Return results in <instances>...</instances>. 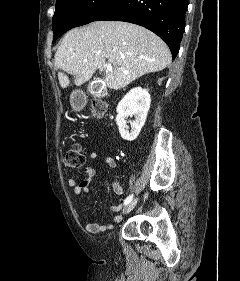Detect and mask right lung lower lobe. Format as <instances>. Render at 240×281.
<instances>
[{
    "label": "right lung lower lobe",
    "mask_w": 240,
    "mask_h": 281,
    "mask_svg": "<svg viewBox=\"0 0 240 281\" xmlns=\"http://www.w3.org/2000/svg\"><path fill=\"white\" fill-rule=\"evenodd\" d=\"M188 0H117L95 21H125L141 25L162 38L173 59L179 51Z\"/></svg>",
    "instance_id": "right-lung-lower-lobe-1"
}]
</instances>
